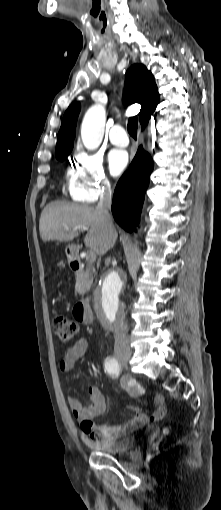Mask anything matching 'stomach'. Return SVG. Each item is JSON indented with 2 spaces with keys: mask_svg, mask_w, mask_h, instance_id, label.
<instances>
[{
  "mask_svg": "<svg viewBox=\"0 0 221 510\" xmlns=\"http://www.w3.org/2000/svg\"><path fill=\"white\" fill-rule=\"evenodd\" d=\"M71 248H72V246H68V249H70V250H71Z\"/></svg>",
  "mask_w": 221,
  "mask_h": 510,
  "instance_id": "1",
  "label": "stomach"
}]
</instances>
